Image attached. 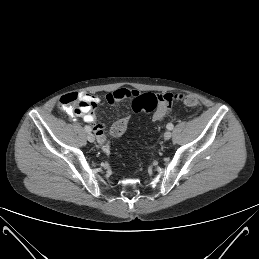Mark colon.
Returning a JSON list of instances; mask_svg holds the SVG:
<instances>
[{"label":"colon","mask_w":259,"mask_h":259,"mask_svg":"<svg viewBox=\"0 0 259 259\" xmlns=\"http://www.w3.org/2000/svg\"><path fill=\"white\" fill-rule=\"evenodd\" d=\"M179 100L188 107H198L199 101L196 97L188 94H180ZM158 97L152 93H144L139 94L134 97V100L132 102L133 110L136 113H148L153 111L158 106ZM128 118H124L122 120H119L115 122L111 127V133L113 136L118 137L121 136L128 125Z\"/></svg>","instance_id":"colon-1"}]
</instances>
